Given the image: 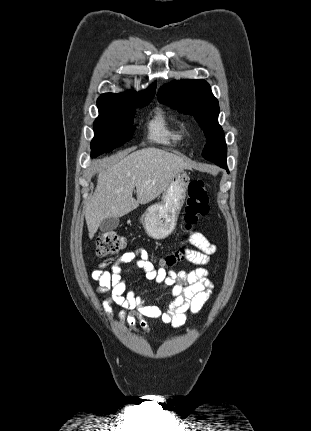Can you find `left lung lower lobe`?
<instances>
[{"label":"left lung lower lobe","mask_w":311,"mask_h":431,"mask_svg":"<svg viewBox=\"0 0 311 431\" xmlns=\"http://www.w3.org/2000/svg\"><path fill=\"white\" fill-rule=\"evenodd\" d=\"M220 166H221V167H224V168H226V169H227V166H226V158H224V159L221 161Z\"/></svg>","instance_id":"1"}]
</instances>
